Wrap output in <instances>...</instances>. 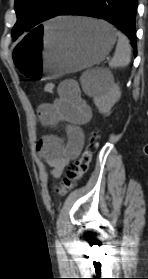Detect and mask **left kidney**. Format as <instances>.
Returning <instances> with one entry per match:
<instances>
[{
  "instance_id": "5707ae66",
  "label": "left kidney",
  "mask_w": 148,
  "mask_h": 279,
  "mask_svg": "<svg viewBox=\"0 0 148 279\" xmlns=\"http://www.w3.org/2000/svg\"><path fill=\"white\" fill-rule=\"evenodd\" d=\"M103 79L104 91L95 95L93 101L100 113L109 114L111 108L119 100L121 91L120 87L112 81L110 75L105 74Z\"/></svg>"
}]
</instances>
